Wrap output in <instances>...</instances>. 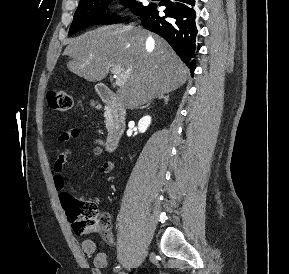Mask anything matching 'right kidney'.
Segmentation results:
<instances>
[{
  "label": "right kidney",
  "mask_w": 289,
  "mask_h": 274,
  "mask_svg": "<svg viewBox=\"0 0 289 274\" xmlns=\"http://www.w3.org/2000/svg\"><path fill=\"white\" fill-rule=\"evenodd\" d=\"M151 123V117L146 115L142 117L138 122V129L140 133H144Z\"/></svg>",
  "instance_id": "right-kidney-1"
}]
</instances>
